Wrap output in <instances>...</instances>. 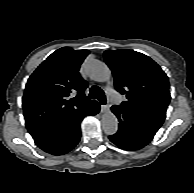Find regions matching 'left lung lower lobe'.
<instances>
[{
	"instance_id": "0a47b994",
	"label": "left lung lower lobe",
	"mask_w": 194,
	"mask_h": 193,
	"mask_svg": "<svg viewBox=\"0 0 194 193\" xmlns=\"http://www.w3.org/2000/svg\"><path fill=\"white\" fill-rule=\"evenodd\" d=\"M112 112L118 118L119 129L109 139L125 150H138L146 146L162 125L117 106L112 107Z\"/></svg>"
}]
</instances>
